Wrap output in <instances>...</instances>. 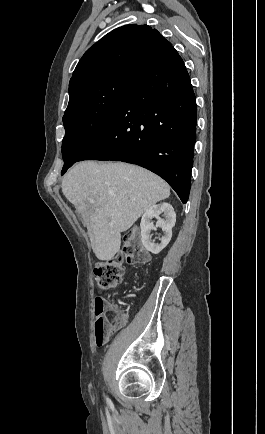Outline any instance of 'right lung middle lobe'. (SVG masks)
<instances>
[{
    "instance_id": "1",
    "label": "right lung middle lobe",
    "mask_w": 265,
    "mask_h": 434,
    "mask_svg": "<svg viewBox=\"0 0 265 434\" xmlns=\"http://www.w3.org/2000/svg\"><path fill=\"white\" fill-rule=\"evenodd\" d=\"M133 75H111L69 89L63 116L62 174L96 142L116 115Z\"/></svg>"
}]
</instances>
